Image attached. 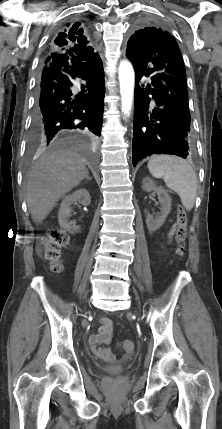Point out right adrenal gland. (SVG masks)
<instances>
[{"label": "right adrenal gland", "instance_id": "2a0ac1e0", "mask_svg": "<svg viewBox=\"0 0 222 429\" xmlns=\"http://www.w3.org/2000/svg\"><path fill=\"white\" fill-rule=\"evenodd\" d=\"M85 179H86L87 181H90L92 178H91V177H89V174H87V175L85 176Z\"/></svg>", "mask_w": 222, "mask_h": 429}]
</instances>
